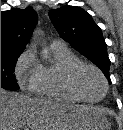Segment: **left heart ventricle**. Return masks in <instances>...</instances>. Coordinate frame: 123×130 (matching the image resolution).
Returning <instances> with one entry per match:
<instances>
[{"mask_svg": "<svg viewBox=\"0 0 123 130\" xmlns=\"http://www.w3.org/2000/svg\"><path fill=\"white\" fill-rule=\"evenodd\" d=\"M79 84L85 95L91 99L99 98L104 91V86L99 76L91 70H85L81 73Z\"/></svg>", "mask_w": 123, "mask_h": 130, "instance_id": "b2bd125f", "label": "left heart ventricle"}]
</instances>
